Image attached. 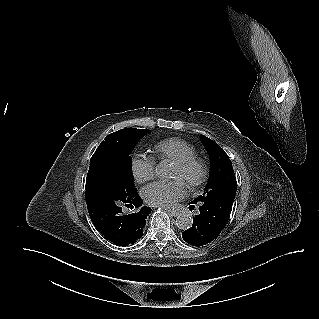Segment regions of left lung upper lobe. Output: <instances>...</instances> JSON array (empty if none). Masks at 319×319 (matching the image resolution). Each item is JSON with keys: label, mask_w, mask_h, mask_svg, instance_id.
I'll return each mask as SVG.
<instances>
[{"label": "left lung upper lobe", "mask_w": 319, "mask_h": 319, "mask_svg": "<svg viewBox=\"0 0 319 319\" xmlns=\"http://www.w3.org/2000/svg\"><path fill=\"white\" fill-rule=\"evenodd\" d=\"M201 140L211 158V171L203 194L192 202L199 203L223 194H235L237 181L228 155L215 141L206 136L201 135Z\"/></svg>", "instance_id": "left-lung-upper-lobe-1"}]
</instances>
